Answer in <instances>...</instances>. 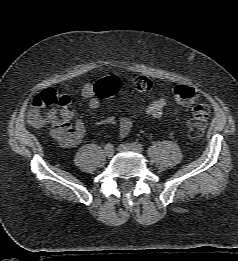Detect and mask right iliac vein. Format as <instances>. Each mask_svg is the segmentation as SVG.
<instances>
[{
    "label": "right iliac vein",
    "mask_w": 238,
    "mask_h": 261,
    "mask_svg": "<svg viewBox=\"0 0 238 261\" xmlns=\"http://www.w3.org/2000/svg\"><path fill=\"white\" fill-rule=\"evenodd\" d=\"M105 155H106V157H107L108 159L112 158L113 155H114V149L112 148L111 151H109V152L106 151V149H105Z\"/></svg>",
    "instance_id": "1"
}]
</instances>
